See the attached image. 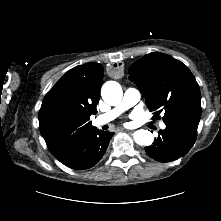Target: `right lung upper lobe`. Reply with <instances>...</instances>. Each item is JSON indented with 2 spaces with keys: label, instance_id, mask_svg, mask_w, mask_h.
<instances>
[{
  "label": "right lung upper lobe",
  "instance_id": "right-lung-upper-lobe-1",
  "mask_svg": "<svg viewBox=\"0 0 221 221\" xmlns=\"http://www.w3.org/2000/svg\"><path fill=\"white\" fill-rule=\"evenodd\" d=\"M103 67L87 63L69 70L46 94L39 111L41 134L56 157L95 129L90 116L97 113Z\"/></svg>",
  "mask_w": 221,
  "mask_h": 221
}]
</instances>
